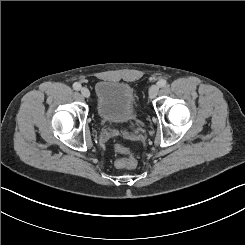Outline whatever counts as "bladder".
Listing matches in <instances>:
<instances>
[{
    "label": "bladder",
    "instance_id": "31cf9c89",
    "mask_svg": "<svg viewBox=\"0 0 245 245\" xmlns=\"http://www.w3.org/2000/svg\"><path fill=\"white\" fill-rule=\"evenodd\" d=\"M97 108L104 120L127 121L133 116L134 89L125 83L100 81L96 87Z\"/></svg>",
    "mask_w": 245,
    "mask_h": 245
}]
</instances>
